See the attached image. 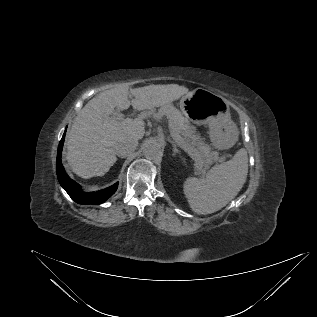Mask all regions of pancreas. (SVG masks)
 <instances>
[{
	"instance_id": "1",
	"label": "pancreas",
	"mask_w": 317,
	"mask_h": 317,
	"mask_svg": "<svg viewBox=\"0 0 317 317\" xmlns=\"http://www.w3.org/2000/svg\"><path fill=\"white\" fill-rule=\"evenodd\" d=\"M163 115H166L169 120L170 132L179 135L183 140V149L194 160V166L197 171L204 172L213 161L218 159V153L204 142L196 131V127L182 115L180 110L171 104H167L161 106L158 112L153 111L151 113V117L154 119Z\"/></svg>"
}]
</instances>
